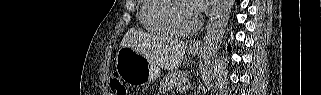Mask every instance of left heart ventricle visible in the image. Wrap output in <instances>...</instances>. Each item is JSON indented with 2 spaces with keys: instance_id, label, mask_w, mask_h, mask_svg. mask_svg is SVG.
<instances>
[{
  "instance_id": "1",
  "label": "left heart ventricle",
  "mask_w": 321,
  "mask_h": 95,
  "mask_svg": "<svg viewBox=\"0 0 321 95\" xmlns=\"http://www.w3.org/2000/svg\"><path fill=\"white\" fill-rule=\"evenodd\" d=\"M174 24L180 29H189L193 26L196 16L190 6L185 3L176 4L171 12Z\"/></svg>"
}]
</instances>
